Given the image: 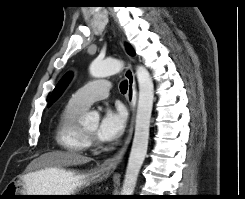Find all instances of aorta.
<instances>
[{
  "label": "aorta",
  "mask_w": 245,
  "mask_h": 199,
  "mask_svg": "<svg viewBox=\"0 0 245 199\" xmlns=\"http://www.w3.org/2000/svg\"><path fill=\"white\" fill-rule=\"evenodd\" d=\"M123 62L118 59L94 60L89 72L92 77L103 78L119 73ZM136 76L139 85V98L135 121V133L132 148L126 168L121 195H133L141 166L145 160L149 141L150 120L154 100V85L149 71L138 66ZM99 114L95 111L88 113L83 118L84 124L95 123Z\"/></svg>",
  "instance_id": "762f6f07"
}]
</instances>
